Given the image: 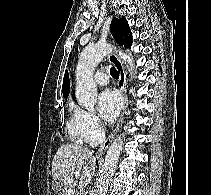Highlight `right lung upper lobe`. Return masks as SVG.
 I'll list each match as a JSON object with an SVG mask.
<instances>
[{"label": "right lung upper lobe", "mask_w": 211, "mask_h": 195, "mask_svg": "<svg viewBox=\"0 0 211 195\" xmlns=\"http://www.w3.org/2000/svg\"><path fill=\"white\" fill-rule=\"evenodd\" d=\"M70 91V81H69V74L66 71L63 79V86H62V92L64 97H68Z\"/></svg>", "instance_id": "1"}]
</instances>
